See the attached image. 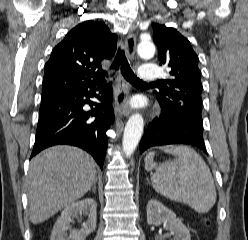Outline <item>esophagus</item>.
I'll return each mask as SVG.
<instances>
[{
  "instance_id": "34e87169",
  "label": "esophagus",
  "mask_w": 248,
  "mask_h": 240,
  "mask_svg": "<svg viewBox=\"0 0 248 240\" xmlns=\"http://www.w3.org/2000/svg\"><path fill=\"white\" fill-rule=\"evenodd\" d=\"M125 51L130 59L134 57L136 51V38L131 32L125 37ZM117 82L118 92L115 96L114 111L116 115L128 116L131 113L128 85L121 74H119Z\"/></svg>"
}]
</instances>
